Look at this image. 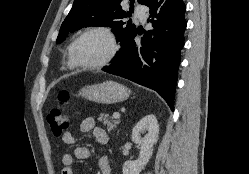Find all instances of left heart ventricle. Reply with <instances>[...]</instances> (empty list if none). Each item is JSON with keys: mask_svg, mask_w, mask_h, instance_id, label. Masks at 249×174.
<instances>
[{"mask_svg": "<svg viewBox=\"0 0 249 174\" xmlns=\"http://www.w3.org/2000/svg\"><path fill=\"white\" fill-rule=\"evenodd\" d=\"M110 51V43L102 33H91L81 39L77 47L79 59L87 64L103 60Z\"/></svg>", "mask_w": 249, "mask_h": 174, "instance_id": "b2bd125f", "label": "left heart ventricle"}]
</instances>
